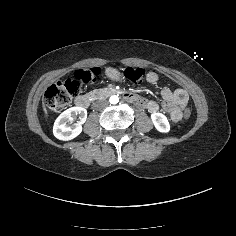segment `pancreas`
<instances>
[{"mask_svg": "<svg viewBox=\"0 0 236 236\" xmlns=\"http://www.w3.org/2000/svg\"><path fill=\"white\" fill-rule=\"evenodd\" d=\"M90 98L99 99L101 97L100 90L94 89L88 93Z\"/></svg>", "mask_w": 236, "mask_h": 236, "instance_id": "cf45deb5", "label": "pancreas"}]
</instances>
